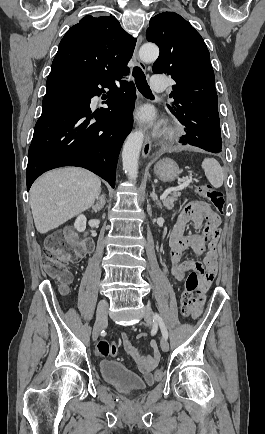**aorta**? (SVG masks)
<instances>
[{
    "mask_svg": "<svg viewBox=\"0 0 265 434\" xmlns=\"http://www.w3.org/2000/svg\"><path fill=\"white\" fill-rule=\"evenodd\" d=\"M142 62H155L159 56V50L155 44H144L139 50ZM144 140L143 132H131L129 134L122 152L123 170H125L129 180L138 178V158Z\"/></svg>",
    "mask_w": 265,
    "mask_h": 434,
    "instance_id": "obj_1",
    "label": "aorta"
}]
</instances>
